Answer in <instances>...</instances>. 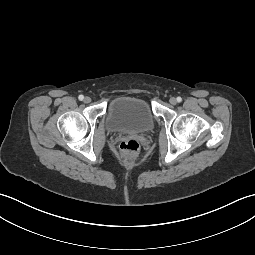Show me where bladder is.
Here are the masks:
<instances>
[{
    "label": "bladder",
    "mask_w": 255,
    "mask_h": 255,
    "mask_svg": "<svg viewBox=\"0 0 255 255\" xmlns=\"http://www.w3.org/2000/svg\"><path fill=\"white\" fill-rule=\"evenodd\" d=\"M153 125L154 115L143 99L120 96L108 105L106 126L112 132L143 133L151 130Z\"/></svg>",
    "instance_id": "obj_1"
}]
</instances>
